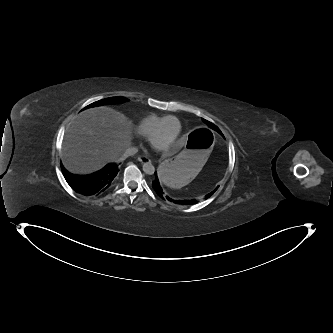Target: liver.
Wrapping results in <instances>:
<instances>
[{"mask_svg":"<svg viewBox=\"0 0 333 333\" xmlns=\"http://www.w3.org/2000/svg\"><path fill=\"white\" fill-rule=\"evenodd\" d=\"M132 128L131 121L109 107L81 112L66 130L64 166L75 174H89L114 162L131 145Z\"/></svg>","mask_w":333,"mask_h":333,"instance_id":"1","label":"liver"}]
</instances>
